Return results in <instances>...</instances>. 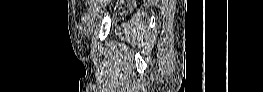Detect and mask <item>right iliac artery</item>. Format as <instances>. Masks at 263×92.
<instances>
[{
  "instance_id": "82829eb1",
  "label": "right iliac artery",
  "mask_w": 263,
  "mask_h": 92,
  "mask_svg": "<svg viewBox=\"0 0 263 92\" xmlns=\"http://www.w3.org/2000/svg\"><path fill=\"white\" fill-rule=\"evenodd\" d=\"M93 2H94V0H88L87 1V4L89 5V7H87L86 12L83 13V19L84 20L88 19L89 10H90V7H92Z\"/></svg>"
}]
</instances>
